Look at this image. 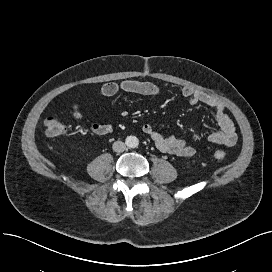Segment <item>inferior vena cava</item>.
I'll use <instances>...</instances> for the list:
<instances>
[{
  "label": "inferior vena cava",
  "mask_w": 272,
  "mask_h": 272,
  "mask_svg": "<svg viewBox=\"0 0 272 272\" xmlns=\"http://www.w3.org/2000/svg\"><path fill=\"white\" fill-rule=\"evenodd\" d=\"M112 148L115 152L121 153L126 149V145L122 141H115Z\"/></svg>",
  "instance_id": "1"
}]
</instances>
